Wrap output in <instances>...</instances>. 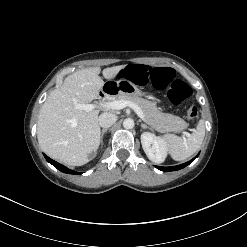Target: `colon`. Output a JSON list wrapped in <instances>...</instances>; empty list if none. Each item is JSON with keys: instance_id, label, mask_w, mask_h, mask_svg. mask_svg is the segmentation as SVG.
Segmentation results:
<instances>
[{"instance_id": "obj_1", "label": "colon", "mask_w": 247, "mask_h": 247, "mask_svg": "<svg viewBox=\"0 0 247 247\" xmlns=\"http://www.w3.org/2000/svg\"><path fill=\"white\" fill-rule=\"evenodd\" d=\"M115 78L118 81H125L127 78L137 85L151 83L157 89H166L168 99L175 105L187 100L191 95L190 86L175 78L174 70L168 67H151L147 64H133L125 68H118L115 71ZM187 117L195 120L198 117L196 106L187 109Z\"/></svg>"}]
</instances>
